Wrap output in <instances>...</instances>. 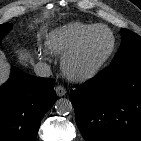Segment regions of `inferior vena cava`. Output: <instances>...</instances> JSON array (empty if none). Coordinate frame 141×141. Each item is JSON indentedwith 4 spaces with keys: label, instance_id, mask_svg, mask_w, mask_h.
Here are the masks:
<instances>
[{
    "label": "inferior vena cava",
    "instance_id": "1",
    "mask_svg": "<svg viewBox=\"0 0 141 141\" xmlns=\"http://www.w3.org/2000/svg\"><path fill=\"white\" fill-rule=\"evenodd\" d=\"M34 71L39 77H49L51 75L50 66L45 62H38L34 66Z\"/></svg>",
    "mask_w": 141,
    "mask_h": 141
}]
</instances>
